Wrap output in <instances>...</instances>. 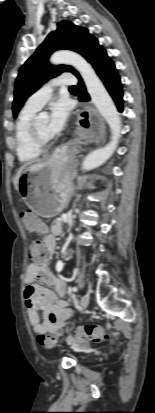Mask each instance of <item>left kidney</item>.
I'll return each mask as SVG.
<instances>
[{
  "label": "left kidney",
  "instance_id": "obj_1",
  "mask_svg": "<svg viewBox=\"0 0 155 413\" xmlns=\"http://www.w3.org/2000/svg\"><path fill=\"white\" fill-rule=\"evenodd\" d=\"M63 267H64V264L61 261H58L57 264H56V270L58 272H61Z\"/></svg>",
  "mask_w": 155,
  "mask_h": 413
}]
</instances>
